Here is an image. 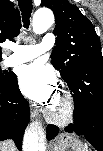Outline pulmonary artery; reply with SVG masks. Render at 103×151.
Returning <instances> with one entry per match:
<instances>
[{
	"label": "pulmonary artery",
	"mask_w": 103,
	"mask_h": 151,
	"mask_svg": "<svg viewBox=\"0 0 103 151\" xmlns=\"http://www.w3.org/2000/svg\"><path fill=\"white\" fill-rule=\"evenodd\" d=\"M54 43V36L52 34H46L40 44L16 45L14 47V54L10 58V65H18L38 57L50 50Z\"/></svg>",
	"instance_id": "obj_1"
}]
</instances>
